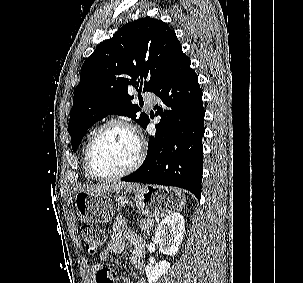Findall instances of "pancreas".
<instances>
[{"label":"pancreas","instance_id":"1","mask_svg":"<svg viewBox=\"0 0 303 283\" xmlns=\"http://www.w3.org/2000/svg\"><path fill=\"white\" fill-rule=\"evenodd\" d=\"M154 225V220L152 218H147V219H140L139 220V226L142 231L146 232L149 234L151 227Z\"/></svg>","mask_w":303,"mask_h":283}]
</instances>
